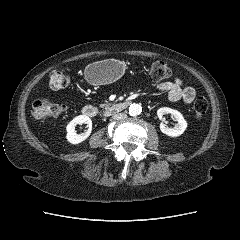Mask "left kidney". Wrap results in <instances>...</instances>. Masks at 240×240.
Listing matches in <instances>:
<instances>
[{
  "instance_id": "5707ae66",
  "label": "left kidney",
  "mask_w": 240,
  "mask_h": 240,
  "mask_svg": "<svg viewBox=\"0 0 240 240\" xmlns=\"http://www.w3.org/2000/svg\"><path fill=\"white\" fill-rule=\"evenodd\" d=\"M165 114H171L177 121V124L175 127L169 128L165 124L161 123L160 124L161 132L170 137H178L181 134H183V132L187 128V122L184 119L183 115L179 111L168 108V107H162L157 110V115L160 120H162V117Z\"/></svg>"
}]
</instances>
